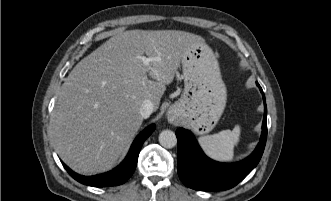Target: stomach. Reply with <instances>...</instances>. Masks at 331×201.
I'll return each mask as SVG.
<instances>
[{"label": "stomach", "instance_id": "1", "mask_svg": "<svg viewBox=\"0 0 331 201\" xmlns=\"http://www.w3.org/2000/svg\"><path fill=\"white\" fill-rule=\"evenodd\" d=\"M181 63L184 90L169 115L195 134H207L218 123L227 100L218 60L205 42H196Z\"/></svg>", "mask_w": 331, "mask_h": 201}]
</instances>
